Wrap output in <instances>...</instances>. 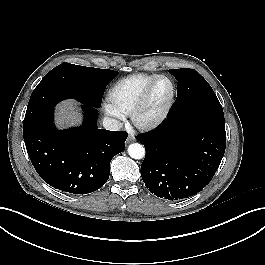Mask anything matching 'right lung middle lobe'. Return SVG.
Listing matches in <instances>:
<instances>
[{
	"instance_id": "1",
	"label": "right lung middle lobe",
	"mask_w": 265,
	"mask_h": 265,
	"mask_svg": "<svg viewBox=\"0 0 265 265\" xmlns=\"http://www.w3.org/2000/svg\"><path fill=\"white\" fill-rule=\"evenodd\" d=\"M117 74L113 70L69 63L55 67L32 92L23 124L48 113L59 101L67 98L100 107L106 84Z\"/></svg>"
}]
</instances>
